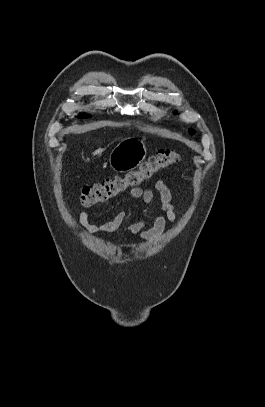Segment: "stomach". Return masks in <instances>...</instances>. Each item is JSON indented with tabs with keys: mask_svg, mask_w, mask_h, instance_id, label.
Returning a JSON list of instances; mask_svg holds the SVG:
<instances>
[{
	"mask_svg": "<svg viewBox=\"0 0 265 407\" xmlns=\"http://www.w3.org/2000/svg\"><path fill=\"white\" fill-rule=\"evenodd\" d=\"M145 143L138 139H128L119 143L109 157L110 167L117 172H127L138 167L145 159Z\"/></svg>",
	"mask_w": 265,
	"mask_h": 407,
	"instance_id": "1",
	"label": "stomach"
}]
</instances>
